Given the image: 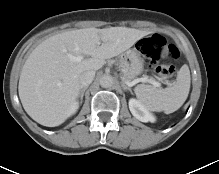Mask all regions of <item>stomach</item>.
Masks as SVG:
<instances>
[{
    "label": "stomach",
    "mask_w": 219,
    "mask_h": 174,
    "mask_svg": "<svg viewBox=\"0 0 219 174\" xmlns=\"http://www.w3.org/2000/svg\"><path fill=\"white\" fill-rule=\"evenodd\" d=\"M119 66L123 77L127 80H132L140 75L144 68L140 51L136 47L127 50L121 55Z\"/></svg>",
    "instance_id": "stomach-1"
}]
</instances>
